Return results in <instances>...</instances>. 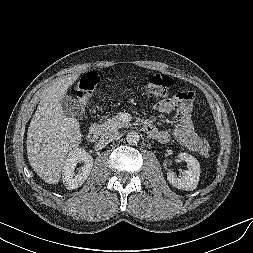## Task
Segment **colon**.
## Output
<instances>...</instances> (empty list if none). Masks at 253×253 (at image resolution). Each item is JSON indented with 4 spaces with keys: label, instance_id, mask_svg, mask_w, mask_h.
Returning <instances> with one entry per match:
<instances>
[{
    "label": "colon",
    "instance_id": "obj_1",
    "mask_svg": "<svg viewBox=\"0 0 253 253\" xmlns=\"http://www.w3.org/2000/svg\"><path fill=\"white\" fill-rule=\"evenodd\" d=\"M98 79L99 77L95 72H89L79 81L75 94L81 112L85 110L98 83ZM173 83V79L166 74H151L144 86V92L146 95L151 97H164L168 94L170 88L173 86ZM176 99L180 101L193 102L194 95L190 91H183L176 95ZM199 152L203 156H208L210 152L209 144L202 138L199 141Z\"/></svg>",
    "mask_w": 253,
    "mask_h": 253
}]
</instances>
